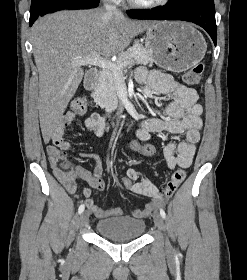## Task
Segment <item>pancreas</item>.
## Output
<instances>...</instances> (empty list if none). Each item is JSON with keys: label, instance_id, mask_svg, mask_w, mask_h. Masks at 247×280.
Here are the masks:
<instances>
[{"label": "pancreas", "instance_id": "1", "mask_svg": "<svg viewBox=\"0 0 247 280\" xmlns=\"http://www.w3.org/2000/svg\"><path fill=\"white\" fill-rule=\"evenodd\" d=\"M116 64L121 65L116 71L103 69L100 74L99 83L95 88L92 97L95 102L107 110L116 109L118 106L117 80L122 79L126 67L134 64L152 66L153 59L142 44H134L123 52L117 59Z\"/></svg>", "mask_w": 247, "mask_h": 280}]
</instances>
